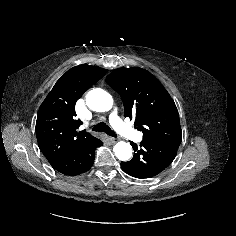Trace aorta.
<instances>
[{
  "mask_svg": "<svg viewBox=\"0 0 236 236\" xmlns=\"http://www.w3.org/2000/svg\"><path fill=\"white\" fill-rule=\"evenodd\" d=\"M86 104L93 111L104 112L112 108L113 98L108 92L97 88L87 93ZM113 150L115 156L121 161H127L132 156L131 145L124 141L118 142Z\"/></svg>",
  "mask_w": 236,
  "mask_h": 236,
  "instance_id": "aorta-1",
  "label": "aorta"
}]
</instances>
